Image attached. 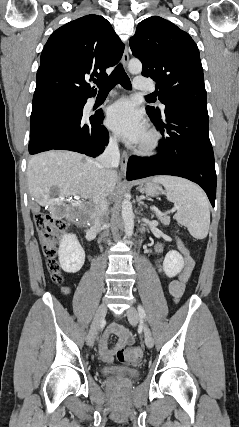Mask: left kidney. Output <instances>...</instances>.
<instances>
[{
  "mask_svg": "<svg viewBox=\"0 0 239 427\" xmlns=\"http://www.w3.org/2000/svg\"><path fill=\"white\" fill-rule=\"evenodd\" d=\"M184 266V259L182 255L175 251H169L163 262V270L168 277L176 276Z\"/></svg>",
  "mask_w": 239,
  "mask_h": 427,
  "instance_id": "obj_1",
  "label": "left kidney"
}]
</instances>
